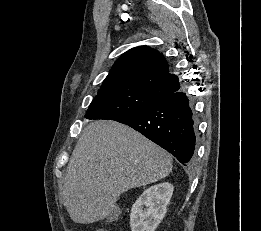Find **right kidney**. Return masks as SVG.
<instances>
[{
  "label": "right kidney",
  "instance_id": "right-kidney-1",
  "mask_svg": "<svg viewBox=\"0 0 261 231\" xmlns=\"http://www.w3.org/2000/svg\"><path fill=\"white\" fill-rule=\"evenodd\" d=\"M173 190L167 182L145 190L132 206L131 231H155L166 214Z\"/></svg>",
  "mask_w": 261,
  "mask_h": 231
}]
</instances>
